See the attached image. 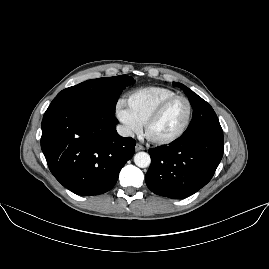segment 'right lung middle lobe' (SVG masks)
<instances>
[{"label": "right lung middle lobe", "mask_w": 269, "mask_h": 269, "mask_svg": "<svg viewBox=\"0 0 269 269\" xmlns=\"http://www.w3.org/2000/svg\"><path fill=\"white\" fill-rule=\"evenodd\" d=\"M134 82L135 80L127 75L87 80L62 90L55 99L66 98L91 103L109 112H115L122 90Z\"/></svg>", "instance_id": "obj_1"}]
</instances>
